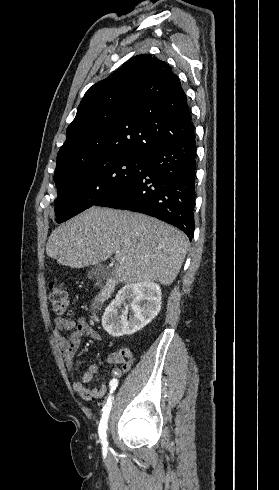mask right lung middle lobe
Instances as JSON below:
<instances>
[{
  "label": "right lung middle lobe",
  "instance_id": "obj_1",
  "mask_svg": "<svg viewBox=\"0 0 279 490\" xmlns=\"http://www.w3.org/2000/svg\"><path fill=\"white\" fill-rule=\"evenodd\" d=\"M146 159L131 155L104 156L54 177L58 197L56 222L62 223L141 176Z\"/></svg>",
  "mask_w": 279,
  "mask_h": 490
}]
</instances>
